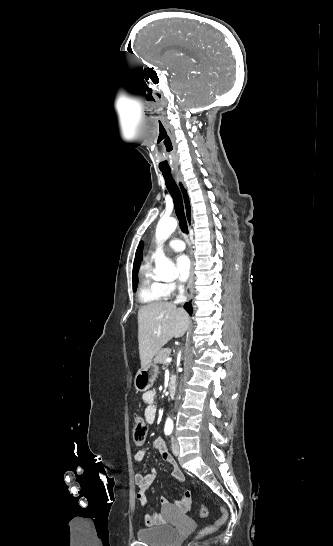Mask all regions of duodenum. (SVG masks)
<instances>
[{"label":"duodenum","instance_id":"410a0bca","mask_svg":"<svg viewBox=\"0 0 333 546\" xmlns=\"http://www.w3.org/2000/svg\"><path fill=\"white\" fill-rule=\"evenodd\" d=\"M168 393L171 397H174L176 392V378L170 377L168 386H167Z\"/></svg>","mask_w":333,"mask_h":546}]
</instances>
